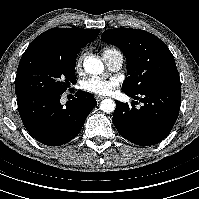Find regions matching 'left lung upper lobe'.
<instances>
[{"label": "left lung upper lobe", "mask_w": 199, "mask_h": 199, "mask_svg": "<svg viewBox=\"0 0 199 199\" xmlns=\"http://www.w3.org/2000/svg\"><path fill=\"white\" fill-rule=\"evenodd\" d=\"M101 39L118 46L125 54L129 76L122 91L140 94L157 87H181L174 57L155 35L144 30L117 28L104 31Z\"/></svg>", "instance_id": "obj_1"}]
</instances>
